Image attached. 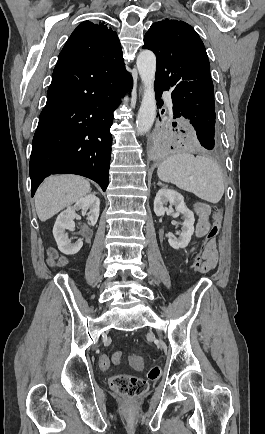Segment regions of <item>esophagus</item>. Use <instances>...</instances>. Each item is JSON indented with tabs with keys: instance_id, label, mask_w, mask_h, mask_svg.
I'll return each instance as SVG.
<instances>
[{
	"instance_id": "obj_1",
	"label": "esophagus",
	"mask_w": 265,
	"mask_h": 434,
	"mask_svg": "<svg viewBox=\"0 0 265 434\" xmlns=\"http://www.w3.org/2000/svg\"><path fill=\"white\" fill-rule=\"evenodd\" d=\"M142 93V87H139V95Z\"/></svg>"
}]
</instances>
